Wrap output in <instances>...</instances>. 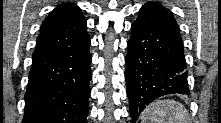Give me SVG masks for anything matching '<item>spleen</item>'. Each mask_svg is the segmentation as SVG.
Returning a JSON list of instances; mask_svg holds the SVG:
<instances>
[{
  "label": "spleen",
  "instance_id": "3e777b00",
  "mask_svg": "<svg viewBox=\"0 0 221 123\" xmlns=\"http://www.w3.org/2000/svg\"><path fill=\"white\" fill-rule=\"evenodd\" d=\"M185 107L174 100L152 102L141 114V123H188Z\"/></svg>",
  "mask_w": 221,
  "mask_h": 123
}]
</instances>
